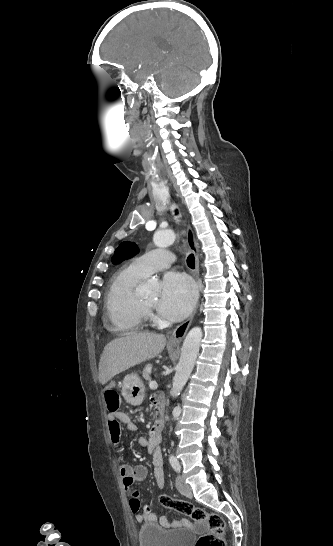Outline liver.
Instances as JSON below:
<instances>
[{"label":"liver","mask_w":333,"mask_h":546,"mask_svg":"<svg viewBox=\"0 0 333 546\" xmlns=\"http://www.w3.org/2000/svg\"><path fill=\"white\" fill-rule=\"evenodd\" d=\"M166 338L150 333H129L106 345L99 362V381L106 384L115 375L155 358L164 349Z\"/></svg>","instance_id":"1"}]
</instances>
